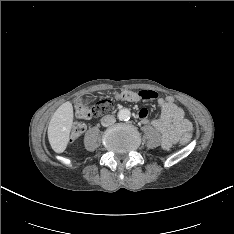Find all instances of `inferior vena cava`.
<instances>
[{
  "instance_id": "1",
  "label": "inferior vena cava",
  "mask_w": 234,
  "mask_h": 234,
  "mask_svg": "<svg viewBox=\"0 0 234 234\" xmlns=\"http://www.w3.org/2000/svg\"><path fill=\"white\" fill-rule=\"evenodd\" d=\"M116 122V118L113 115H105L101 119V124L105 127L113 125Z\"/></svg>"
}]
</instances>
